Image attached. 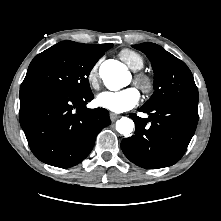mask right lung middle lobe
Returning a JSON list of instances; mask_svg holds the SVG:
<instances>
[{
    "label": "right lung middle lobe",
    "instance_id": "obj_1",
    "mask_svg": "<svg viewBox=\"0 0 221 221\" xmlns=\"http://www.w3.org/2000/svg\"><path fill=\"white\" fill-rule=\"evenodd\" d=\"M112 46L94 50L82 43L59 42L32 60L21 88L48 87L73 96L90 93L89 73Z\"/></svg>",
    "mask_w": 221,
    "mask_h": 221
}]
</instances>
